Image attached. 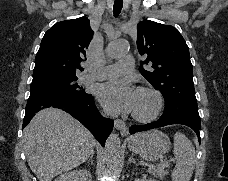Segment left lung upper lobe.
I'll return each mask as SVG.
<instances>
[{
	"instance_id": "1",
	"label": "left lung upper lobe",
	"mask_w": 228,
	"mask_h": 181,
	"mask_svg": "<svg viewBox=\"0 0 228 181\" xmlns=\"http://www.w3.org/2000/svg\"><path fill=\"white\" fill-rule=\"evenodd\" d=\"M137 47L146 59L140 73L165 100L162 121L201 124L188 46L170 25L144 20L137 25Z\"/></svg>"
}]
</instances>
